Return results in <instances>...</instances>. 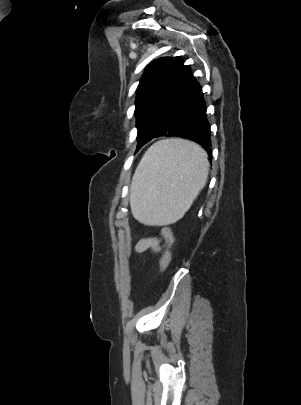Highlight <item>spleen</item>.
Wrapping results in <instances>:
<instances>
[{
	"label": "spleen",
	"instance_id": "1",
	"mask_svg": "<svg viewBox=\"0 0 301 405\" xmlns=\"http://www.w3.org/2000/svg\"><path fill=\"white\" fill-rule=\"evenodd\" d=\"M206 152L194 142L166 139L154 143L133 176L130 206L145 225H168L181 219L205 186Z\"/></svg>",
	"mask_w": 301,
	"mask_h": 405
}]
</instances>
